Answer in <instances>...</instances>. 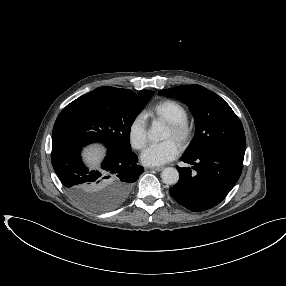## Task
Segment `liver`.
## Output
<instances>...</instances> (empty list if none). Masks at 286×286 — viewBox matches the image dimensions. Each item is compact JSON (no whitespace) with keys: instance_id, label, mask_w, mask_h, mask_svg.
Masks as SVG:
<instances>
[{"instance_id":"obj_1","label":"liver","mask_w":286,"mask_h":286,"mask_svg":"<svg viewBox=\"0 0 286 286\" xmlns=\"http://www.w3.org/2000/svg\"><path fill=\"white\" fill-rule=\"evenodd\" d=\"M102 150L98 147H92L89 148L88 150L85 151L84 157L87 161V163H89L91 165V167H95L98 166V164L100 163V159L102 157Z\"/></svg>"}]
</instances>
